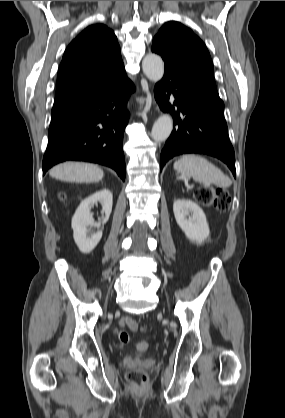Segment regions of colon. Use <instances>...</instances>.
Here are the masks:
<instances>
[{"label":"colon","mask_w":285,"mask_h":418,"mask_svg":"<svg viewBox=\"0 0 285 418\" xmlns=\"http://www.w3.org/2000/svg\"><path fill=\"white\" fill-rule=\"evenodd\" d=\"M196 200L206 207H213L219 212H226L229 209L231 198L227 190L222 188L208 187L200 189L195 194ZM118 339L122 343H128L130 336L126 330H120L117 333ZM149 348L146 341H141L136 344V349L139 352H145ZM127 380L129 384L134 387L143 388L147 385L148 376L142 370H131L127 373Z\"/></svg>","instance_id":"5ec220e1"}]
</instances>
